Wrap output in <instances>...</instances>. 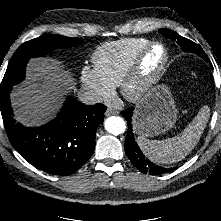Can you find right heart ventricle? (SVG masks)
<instances>
[{
	"label": "right heart ventricle",
	"instance_id": "e07e8e85",
	"mask_svg": "<svg viewBox=\"0 0 221 221\" xmlns=\"http://www.w3.org/2000/svg\"><path fill=\"white\" fill-rule=\"evenodd\" d=\"M149 42L141 37L106 42L92 55L94 68L109 85L118 86L136 54Z\"/></svg>",
	"mask_w": 221,
	"mask_h": 221
}]
</instances>
